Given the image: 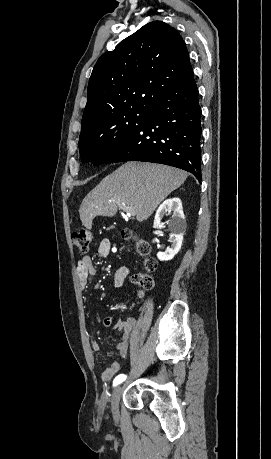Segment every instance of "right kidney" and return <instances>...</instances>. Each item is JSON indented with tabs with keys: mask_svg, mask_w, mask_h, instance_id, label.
<instances>
[{
	"mask_svg": "<svg viewBox=\"0 0 271 459\" xmlns=\"http://www.w3.org/2000/svg\"><path fill=\"white\" fill-rule=\"evenodd\" d=\"M170 214H172V218L169 220L168 228L171 233L168 241H171V247H167L166 251H158L157 257L159 259H172L176 255L182 245L184 231L187 228L180 198H170V200H165L159 206L154 226H160V220H162L163 216H170Z\"/></svg>",
	"mask_w": 271,
	"mask_h": 459,
	"instance_id": "obj_1",
	"label": "right kidney"
}]
</instances>
